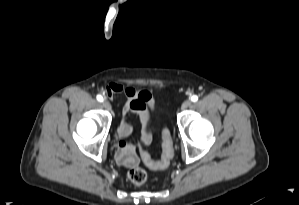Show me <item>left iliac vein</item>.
<instances>
[{
    "label": "left iliac vein",
    "mask_w": 299,
    "mask_h": 205,
    "mask_svg": "<svg viewBox=\"0 0 299 205\" xmlns=\"http://www.w3.org/2000/svg\"><path fill=\"white\" fill-rule=\"evenodd\" d=\"M192 104L191 100H185L183 103H182V106L181 108L184 110V109H187L190 105Z\"/></svg>",
    "instance_id": "obj_1"
}]
</instances>
